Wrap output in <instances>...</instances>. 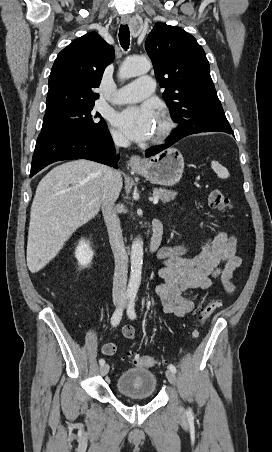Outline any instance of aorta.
<instances>
[{
	"mask_svg": "<svg viewBox=\"0 0 272 452\" xmlns=\"http://www.w3.org/2000/svg\"><path fill=\"white\" fill-rule=\"evenodd\" d=\"M151 69V62L144 57L127 58L120 70L122 78H130L147 73ZM131 271L127 288V293L136 295L141 283L143 265V242L140 238H135L131 247Z\"/></svg>",
	"mask_w": 272,
	"mask_h": 452,
	"instance_id": "762f6f07",
	"label": "aorta"
}]
</instances>
